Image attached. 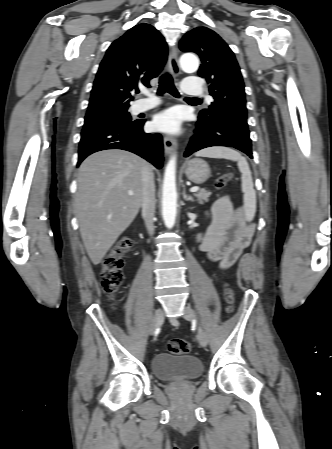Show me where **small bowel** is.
Returning <instances> with one entry per match:
<instances>
[{
    "label": "small bowel",
    "instance_id": "obj_1",
    "mask_svg": "<svg viewBox=\"0 0 332 449\" xmlns=\"http://www.w3.org/2000/svg\"><path fill=\"white\" fill-rule=\"evenodd\" d=\"M209 226L200 236V249L221 269L233 265L251 240L254 226L247 224L240 207L228 196L216 200L208 214Z\"/></svg>",
    "mask_w": 332,
    "mask_h": 449
}]
</instances>
